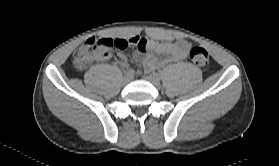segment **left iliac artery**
I'll list each match as a JSON object with an SVG mask.
<instances>
[{
	"mask_svg": "<svg viewBox=\"0 0 279 166\" xmlns=\"http://www.w3.org/2000/svg\"><path fill=\"white\" fill-rule=\"evenodd\" d=\"M155 76H158L160 78V74H155Z\"/></svg>",
	"mask_w": 279,
	"mask_h": 166,
	"instance_id": "left-iliac-artery-1",
	"label": "left iliac artery"
}]
</instances>
